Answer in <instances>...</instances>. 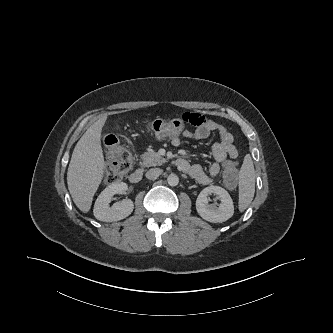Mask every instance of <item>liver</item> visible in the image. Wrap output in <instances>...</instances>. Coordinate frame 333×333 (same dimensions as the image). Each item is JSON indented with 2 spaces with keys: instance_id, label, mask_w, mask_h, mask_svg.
<instances>
[{
  "instance_id": "obj_1",
  "label": "liver",
  "mask_w": 333,
  "mask_h": 333,
  "mask_svg": "<svg viewBox=\"0 0 333 333\" xmlns=\"http://www.w3.org/2000/svg\"><path fill=\"white\" fill-rule=\"evenodd\" d=\"M107 120L103 115L94 122L77 142L69 163L67 184L76 206L87 213L104 176L105 161L101 132Z\"/></svg>"
}]
</instances>
